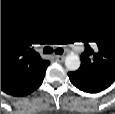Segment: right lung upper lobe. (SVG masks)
I'll return each mask as SVG.
<instances>
[{
	"mask_svg": "<svg viewBox=\"0 0 115 114\" xmlns=\"http://www.w3.org/2000/svg\"><path fill=\"white\" fill-rule=\"evenodd\" d=\"M30 44L20 30L1 27V90L7 94L31 88L50 64Z\"/></svg>",
	"mask_w": 115,
	"mask_h": 114,
	"instance_id": "obj_1",
	"label": "right lung upper lobe"
}]
</instances>
